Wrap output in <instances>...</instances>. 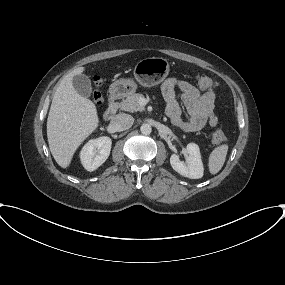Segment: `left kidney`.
I'll return each instance as SVG.
<instances>
[{
  "label": "left kidney",
  "mask_w": 285,
  "mask_h": 285,
  "mask_svg": "<svg viewBox=\"0 0 285 285\" xmlns=\"http://www.w3.org/2000/svg\"><path fill=\"white\" fill-rule=\"evenodd\" d=\"M188 156L185 163L180 161L177 154H172L170 157L171 167L180 175L190 178L199 179L203 177V163L201 160V154L199 146L195 143H189L187 145Z\"/></svg>",
  "instance_id": "5707ae66"
}]
</instances>
